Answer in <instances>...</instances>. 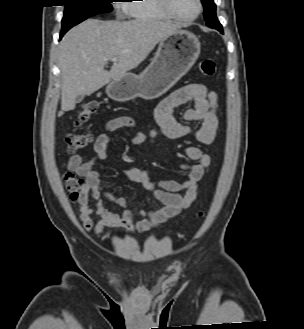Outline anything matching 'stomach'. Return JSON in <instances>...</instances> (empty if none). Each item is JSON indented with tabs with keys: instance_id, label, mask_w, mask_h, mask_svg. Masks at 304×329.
Listing matches in <instances>:
<instances>
[{
	"instance_id": "stomach-1",
	"label": "stomach",
	"mask_w": 304,
	"mask_h": 329,
	"mask_svg": "<svg viewBox=\"0 0 304 329\" xmlns=\"http://www.w3.org/2000/svg\"><path fill=\"white\" fill-rule=\"evenodd\" d=\"M200 54V42L191 32L176 30L159 43L155 57L140 74L126 73L111 81L107 95L119 102L136 97L152 100L168 91L194 65Z\"/></svg>"
}]
</instances>
